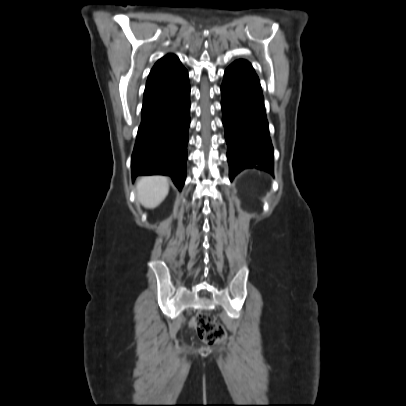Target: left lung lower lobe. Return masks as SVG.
Masks as SVG:
<instances>
[{
	"label": "left lung lower lobe",
	"mask_w": 406,
	"mask_h": 406,
	"mask_svg": "<svg viewBox=\"0 0 406 406\" xmlns=\"http://www.w3.org/2000/svg\"><path fill=\"white\" fill-rule=\"evenodd\" d=\"M221 94L230 179L254 164L273 174L266 167L273 166V146L262 89L248 61L237 60L226 69Z\"/></svg>",
	"instance_id": "0a47b994"
}]
</instances>
